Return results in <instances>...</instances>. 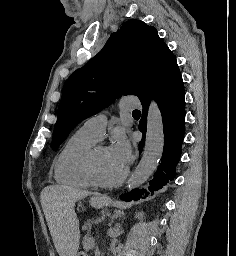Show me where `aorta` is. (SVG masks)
Instances as JSON below:
<instances>
[{"label":"aorta","instance_id":"1","mask_svg":"<svg viewBox=\"0 0 236 256\" xmlns=\"http://www.w3.org/2000/svg\"><path fill=\"white\" fill-rule=\"evenodd\" d=\"M164 147V129L160 109L152 100L147 115V131L142 158L127 181V191L140 187L157 169Z\"/></svg>","mask_w":236,"mask_h":256}]
</instances>
